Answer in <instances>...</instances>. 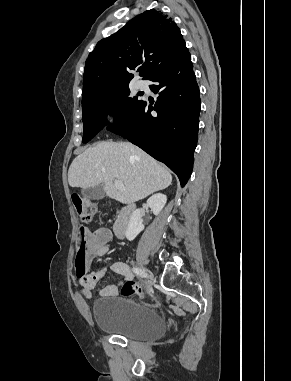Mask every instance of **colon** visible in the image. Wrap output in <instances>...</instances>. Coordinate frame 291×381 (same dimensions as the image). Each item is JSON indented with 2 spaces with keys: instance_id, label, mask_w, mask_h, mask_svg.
Masks as SVG:
<instances>
[{
  "instance_id": "colon-1",
  "label": "colon",
  "mask_w": 291,
  "mask_h": 381,
  "mask_svg": "<svg viewBox=\"0 0 291 381\" xmlns=\"http://www.w3.org/2000/svg\"><path fill=\"white\" fill-rule=\"evenodd\" d=\"M72 202L83 221L91 220L97 213V207L82 196H74ZM88 238V230L80 227L76 239V263L83 271L87 268ZM120 293L123 296L143 295V290L136 282L127 281L120 287Z\"/></svg>"
}]
</instances>
